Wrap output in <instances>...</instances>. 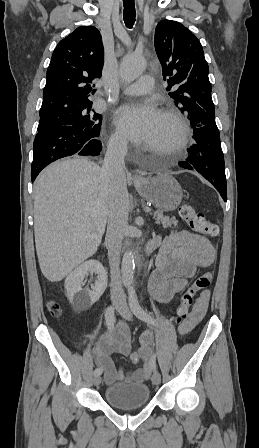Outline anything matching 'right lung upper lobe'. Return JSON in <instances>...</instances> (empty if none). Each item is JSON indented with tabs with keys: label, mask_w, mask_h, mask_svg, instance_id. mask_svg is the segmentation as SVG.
<instances>
[{
	"label": "right lung upper lobe",
	"mask_w": 259,
	"mask_h": 448,
	"mask_svg": "<svg viewBox=\"0 0 259 448\" xmlns=\"http://www.w3.org/2000/svg\"><path fill=\"white\" fill-rule=\"evenodd\" d=\"M103 54L102 37L94 26L78 27L61 40L47 70L40 114L91 105Z\"/></svg>",
	"instance_id": "1"
}]
</instances>
